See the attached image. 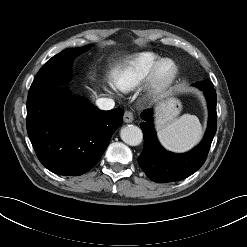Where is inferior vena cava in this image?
I'll list each match as a JSON object with an SVG mask.
<instances>
[{"instance_id":"1","label":"inferior vena cava","mask_w":247,"mask_h":247,"mask_svg":"<svg viewBox=\"0 0 247 247\" xmlns=\"http://www.w3.org/2000/svg\"><path fill=\"white\" fill-rule=\"evenodd\" d=\"M96 104L98 108L102 110H111L115 106L114 100L110 98H99L96 100Z\"/></svg>"}]
</instances>
